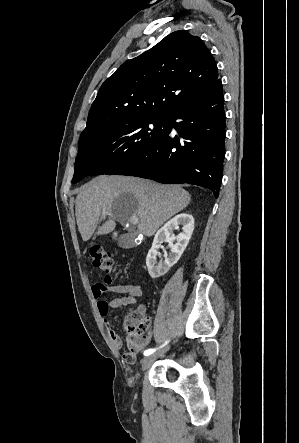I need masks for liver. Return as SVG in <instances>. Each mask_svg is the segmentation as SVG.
I'll return each mask as SVG.
<instances>
[{
    "label": "liver",
    "mask_w": 299,
    "mask_h": 443,
    "mask_svg": "<svg viewBox=\"0 0 299 443\" xmlns=\"http://www.w3.org/2000/svg\"><path fill=\"white\" fill-rule=\"evenodd\" d=\"M191 201L190 194L179 186H165L150 180L125 176H98L85 184L76 197L75 215L83 241L115 229L116 222L126 223L138 217V232L152 236L169 218ZM103 210L108 213L103 214Z\"/></svg>",
    "instance_id": "1"
}]
</instances>
